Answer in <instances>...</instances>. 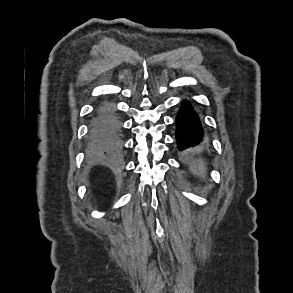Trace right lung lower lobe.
Wrapping results in <instances>:
<instances>
[{"label": "right lung lower lobe", "instance_id": "1", "mask_svg": "<svg viewBox=\"0 0 293 293\" xmlns=\"http://www.w3.org/2000/svg\"><path fill=\"white\" fill-rule=\"evenodd\" d=\"M89 139L97 151L115 156L121 149V122L114 107L104 103L98 106L91 120Z\"/></svg>", "mask_w": 293, "mask_h": 293}]
</instances>
